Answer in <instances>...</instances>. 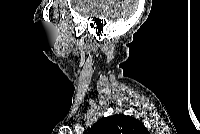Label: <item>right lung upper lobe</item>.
<instances>
[{
	"label": "right lung upper lobe",
	"mask_w": 200,
	"mask_h": 134,
	"mask_svg": "<svg viewBox=\"0 0 200 134\" xmlns=\"http://www.w3.org/2000/svg\"><path fill=\"white\" fill-rule=\"evenodd\" d=\"M145 126L137 119L123 114L101 118L88 134H147Z\"/></svg>",
	"instance_id": "obj_1"
}]
</instances>
